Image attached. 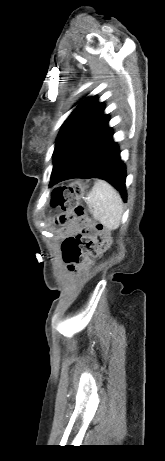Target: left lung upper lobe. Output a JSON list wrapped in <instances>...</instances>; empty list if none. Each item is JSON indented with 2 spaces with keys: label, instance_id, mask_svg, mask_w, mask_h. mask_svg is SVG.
Segmentation results:
<instances>
[{
  "label": "left lung upper lobe",
  "instance_id": "5c2ea615",
  "mask_svg": "<svg viewBox=\"0 0 165 461\" xmlns=\"http://www.w3.org/2000/svg\"><path fill=\"white\" fill-rule=\"evenodd\" d=\"M104 115V104L96 96L86 98L73 110L63 123L53 153V171L82 138V136Z\"/></svg>",
  "mask_w": 165,
  "mask_h": 461
}]
</instances>
